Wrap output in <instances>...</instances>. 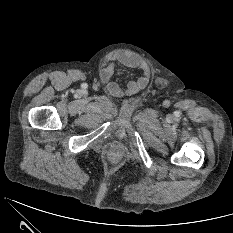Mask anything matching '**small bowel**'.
<instances>
[{
  "label": "small bowel",
  "instance_id": "1",
  "mask_svg": "<svg viewBox=\"0 0 233 233\" xmlns=\"http://www.w3.org/2000/svg\"><path fill=\"white\" fill-rule=\"evenodd\" d=\"M117 63L140 70V76L126 85H120L112 81ZM99 75L101 81L106 85L107 91L112 96L123 97L136 94L147 86L150 80V69L137 55L129 51L120 50L107 57L100 68Z\"/></svg>",
  "mask_w": 233,
  "mask_h": 233
}]
</instances>
